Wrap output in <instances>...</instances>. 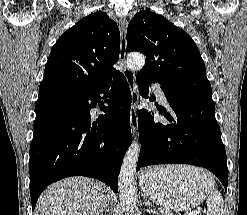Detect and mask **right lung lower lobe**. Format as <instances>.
Returning <instances> with one entry per match:
<instances>
[{"label":"right lung lower lobe","instance_id":"right-lung-lower-lobe-1","mask_svg":"<svg viewBox=\"0 0 247 215\" xmlns=\"http://www.w3.org/2000/svg\"><path fill=\"white\" fill-rule=\"evenodd\" d=\"M102 99L108 104L101 108L105 114L91 122L90 110ZM131 100L119 71L84 89L40 84L29 160L33 210L49 184L70 176L96 178L118 192V174L132 142Z\"/></svg>","mask_w":247,"mask_h":215}]
</instances>
